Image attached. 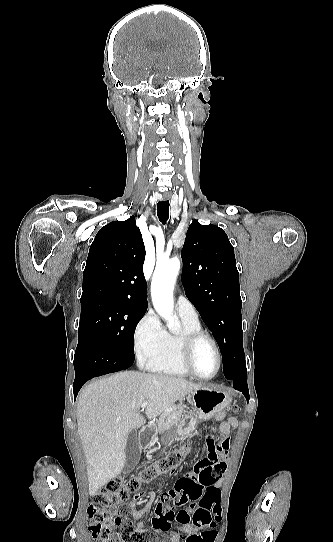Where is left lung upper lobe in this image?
Instances as JSON below:
<instances>
[{
  "instance_id": "5c2ea615",
  "label": "left lung upper lobe",
  "mask_w": 333,
  "mask_h": 542,
  "mask_svg": "<svg viewBox=\"0 0 333 542\" xmlns=\"http://www.w3.org/2000/svg\"><path fill=\"white\" fill-rule=\"evenodd\" d=\"M181 257L186 296L219 345L225 377L245 369L239 273L228 236L215 225L194 220Z\"/></svg>"
}]
</instances>
